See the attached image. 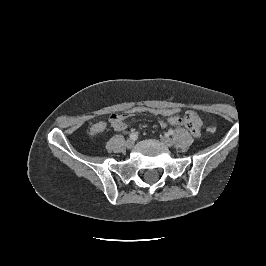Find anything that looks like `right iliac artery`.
Wrapping results in <instances>:
<instances>
[{
  "label": "right iliac artery",
  "mask_w": 266,
  "mask_h": 266,
  "mask_svg": "<svg viewBox=\"0 0 266 266\" xmlns=\"http://www.w3.org/2000/svg\"><path fill=\"white\" fill-rule=\"evenodd\" d=\"M129 137H130L132 140H136V139L138 138V133H137V132L131 133Z\"/></svg>",
  "instance_id": "1"
}]
</instances>
